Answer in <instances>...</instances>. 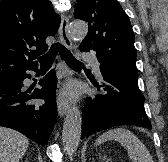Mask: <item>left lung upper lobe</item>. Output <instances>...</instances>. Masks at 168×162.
<instances>
[{"mask_svg":"<svg viewBox=\"0 0 168 162\" xmlns=\"http://www.w3.org/2000/svg\"><path fill=\"white\" fill-rule=\"evenodd\" d=\"M74 8V17L89 25V32L80 44V50H94L100 63L138 77L135 36L130 20L119 2L77 0Z\"/></svg>","mask_w":168,"mask_h":162,"instance_id":"5c2ea615","label":"left lung upper lobe"}]
</instances>
